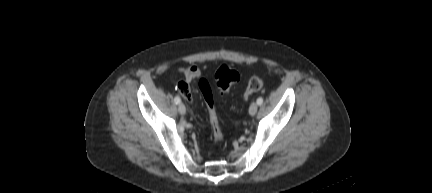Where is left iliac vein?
<instances>
[{
	"instance_id": "1",
	"label": "left iliac vein",
	"mask_w": 432,
	"mask_h": 193,
	"mask_svg": "<svg viewBox=\"0 0 432 193\" xmlns=\"http://www.w3.org/2000/svg\"><path fill=\"white\" fill-rule=\"evenodd\" d=\"M257 110H258V105H257V103H255V102L251 103V105H250V107H249V114H250V115H255L256 112H257Z\"/></svg>"
}]
</instances>
